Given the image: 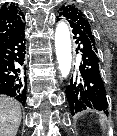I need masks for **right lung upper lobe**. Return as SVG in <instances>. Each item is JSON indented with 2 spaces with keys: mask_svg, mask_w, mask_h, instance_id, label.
<instances>
[{
  "mask_svg": "<svg viewBox=\"0 0 117 136\" xmlns=\"http://www.w3.org/2000/svg\"><path fill=\"white\" fill-rule=\"evenodd\" d=\"M23 13L14 4L0 8V45L22 24Z\"/></svg>",
  "mask_w": 117,
  "mask_h": 136,
  "instance_id": "obj_1",
  "label": "right lung upper lobe"
}]
</instances>
